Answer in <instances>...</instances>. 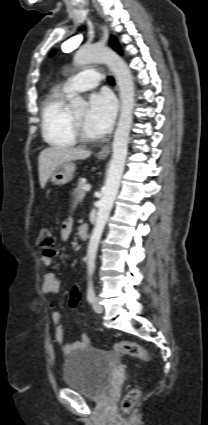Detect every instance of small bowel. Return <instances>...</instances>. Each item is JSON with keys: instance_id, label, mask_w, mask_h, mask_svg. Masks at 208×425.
<instances>
[{"instance_id": "1", "label": "small bowel", "mask_w": 208, "mask_h": 425, "mask_svg": "<svg viewBox=\"0 0 208 425\" xmlns=\"http://www.w3.org/2000/svg\"><path fill=\"white\" fill-rule=\"evenodd\" d=\"M72 221L67 220L63 223L62 229H61V237L63 239H68L71 231H72ZM55 255V252L52 255L43 254L41 257L42 263L49 267L52 264V258ZM60 285L61 282L59 278H57L56 274L52 271L47 272L44 275L43 279V292L46 294H57L60 291ZM53 307L54 305L51 304ZM52 322L54 326L55 331V338L56 341L61 345L62 351L65 354L71 353L73 350L81 348L83 346H86L89 343V339L86 335H83L79 341L72 342V343H65L64 342V334H63V322L61 314L58 311H54L52 313Z\"/></svg>"}]
</instances>
